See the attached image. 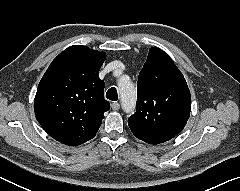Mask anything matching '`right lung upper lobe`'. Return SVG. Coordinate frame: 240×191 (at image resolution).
I'll use <instances>...</instances> for the list:
<instances>
[{
	"label": "right lung upper lobe",
	"instance_id": "right-lung-upper-lobe-1",
	"mask_svg": "<svg viewBox=\"0 0 240 191\" xmlns=\"http://www.w3.org/2000/svg\"><path fill=\"white\" fill-rule=\"evenodd\" d=\"M105 58V53L86 46H70L43 75L34 101L35 116L55 140L77 146L96 135L110 107L99 78Z\"/></svg>",
	"mask_w": 240,
	"mask_h": 191
}]
</instances>
